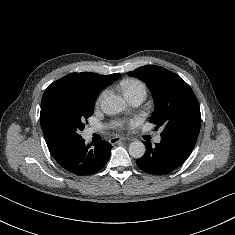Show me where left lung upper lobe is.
<instances>
[{"label":"left lung upper lobe","instance_id":"obj_1","mask_svg":"<svg viewBox=\"0 0 235 235\" xmlns=\"http://www.w3.org/2000/svg\"><path fill=\"white\" fill-rule=\"evenodd\" d=\"M146 83L155 103L149 121L163 127L161 136H182L197 140L201 114L198 100L190 86L177 74L155 65L128 72Z\"/></svg>","mask_w":235,"mask_h":235}]
</instances>
